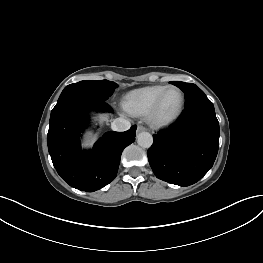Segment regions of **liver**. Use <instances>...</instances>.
Here are the masks:
<instances>
[{
  "label": "liver",
  "mask_w": 263,
  "mask_h": 263,
  "mask_svg": "<svg viewBox=\"0 0 263 263\" xmlns=\"http://www.w3.org/2000/svg\"><path fill=\"white\" fill-rule=\"evenodd\" d=\"M108 118H107V116H102L101 117V120H103V121H106ZM95 140V139H94ZM94 140L92 141V143L94 142ZM92 143H90L89 145H91Z\"/></svg>",
  "instance_id": "1"
}]
</instances>
